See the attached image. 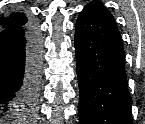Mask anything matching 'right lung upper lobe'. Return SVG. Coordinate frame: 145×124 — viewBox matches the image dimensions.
<instances>
[{
  "label": "right lung upper lobe",
  "instance_id": "1",
  "mask_svg": "<svg viewBox=\"0 0 145 124\" xmlns=\"http://www.w3.org/2000/svg\"><path fill=\"white\" fill-rule=\"evenodd\" d=\"M28 24L27 18L21 13H13L8 17H1L0 28L11 29L18 28Z\"/></svg>",
  "mask_w": 145,
  "mask_h": 124
}]
</instances>
